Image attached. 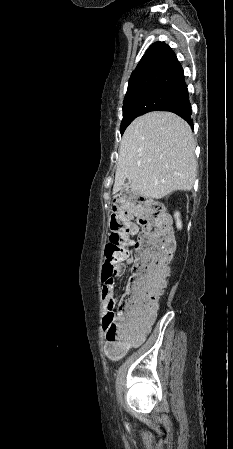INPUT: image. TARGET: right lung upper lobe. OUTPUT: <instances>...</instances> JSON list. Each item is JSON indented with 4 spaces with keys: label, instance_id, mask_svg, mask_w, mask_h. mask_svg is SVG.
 Masks as SVG:
<instances>
[{
    "label": "right lung upper lobe",
    "instance_id": "1",
    "mask_svg": "<svg viewBox=\"0 0 233 449\" xmlns=\"http://www.w3.org/2000/svg\"><path fill=\"white\" fill-rule=\"evenodd\" d=\"M154 87H186L183 68L164 42H155L147 49L129 79L126 95Z\"/></svg>",
    "mask_w": 233,
    "mask_h": 449
}]
</instances>
